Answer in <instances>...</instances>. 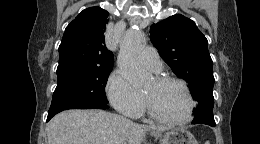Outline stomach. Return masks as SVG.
Listing matches in <instances>:
<instances>
[{
    "label": "stomach",
    "mask_w": 260,
    "mask_h": 144,
    "mask_svg": "<svg viewBox=\"0 0 260 144\" xmlns=\"http://www.w3.org/2000/svg\"><path fill=\"white\" fill-rule=\"evenodd\" d=\"M153 136L160 140V144H198L195 137L182 128H175L165 133L156 132Z\"/></svg>",
    "instance_id": "0dacf381"
}]
</instances>
